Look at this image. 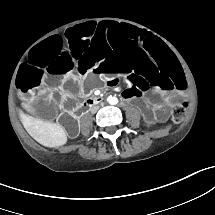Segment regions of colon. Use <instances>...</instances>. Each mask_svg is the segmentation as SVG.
Instances as JSON below:
<instances>
[{
	"label": "colon",
	"mask_w": 215,
	"mask_h": 215,
	"mask_svg": "<svg viewBox=\"0 0 215 215\" xmlns=\"http://www.w3.org/2000/svg\"><path fill=\"white\" fill-rule=\"evenodd\" d=\"M188 104L183 103L179 106H176L172 113V120L175 124H179L184 120V117L186 115Z\"/></svg>",
	"instance_id": "5ec220e1"
}]
</instances>
